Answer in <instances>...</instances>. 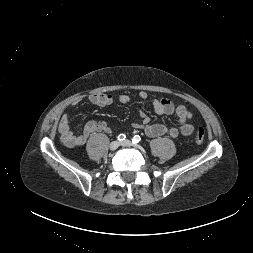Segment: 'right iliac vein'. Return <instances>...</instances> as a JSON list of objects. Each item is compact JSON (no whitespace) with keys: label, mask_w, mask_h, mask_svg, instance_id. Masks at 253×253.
<instances>
[{"label":"right iliac vein","mask_w":253,"mask_h":253,"mask_svg":"<svg viewBox=\"0 0 253 253\" xmlns=\"http://www.w3.org/2000/svg\"><path fill=\"white\" fill-rule=\"evenodd\" d=\"M120 143L118 141H113L110 143L109 148L110 150H116L119 147Z\"/></svg>","instance_id":"obj_1"}]
</instances>
